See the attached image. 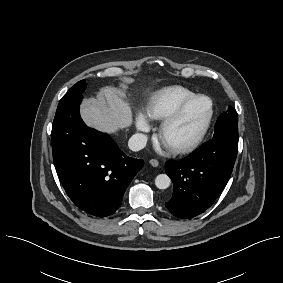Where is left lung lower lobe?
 Segmentation results:
<instances>
[{"label":"left lung lower lobe","mask_w":283,"mask_h":283,"mask_svg":"<svg viewBox=\"0 0 283 283\" xmlns=\"http://www.w3.org/2000/svg\"><path fill=\"white\" fill-rule=\"evenodd\" d=\"M238 147L211 139L190 158L168 162L167 175L173 181V195L165 203L176 217L192 218L209 208L227 184Z\"/></svg>","instance_id":"1"}]
</instances>
